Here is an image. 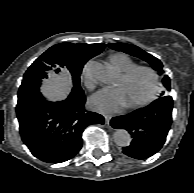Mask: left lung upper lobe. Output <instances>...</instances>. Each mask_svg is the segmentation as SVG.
Listing matches in <instances>:
<instances>
[{
  "instance_id": "1",
  "label": "left lung upper lobe",
  "mask_w": 194,
  "mask_h": 193,
  "mask_svg": "<svg viewBox=\"0 0 194 193\" xmlns=\"http://www.w3.org/2000/svg\"><path fill=\"white\" fill-rule=\"evenodd\" d=\"M110 48L114 50L123 51L127 54H130L132 56L138 57L152 65V67L159 72V74H163V64L160 60H158L156 57L152 56L151 54L143 51L139 47L131 44H125V43H115V44H108ZM163 84L165 88L170 91V79L168 76H165L163 78ZM162 96H165L166 93L163 91L161 94Z\"/></svg>"
}]
</instances>
